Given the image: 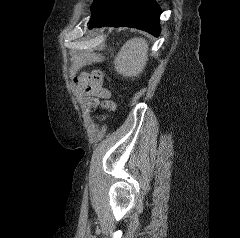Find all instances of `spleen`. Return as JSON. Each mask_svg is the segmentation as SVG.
Masks as SVG:
<instances>
[{
    "label": "spleen",
    "instance_id": "1",
    "mask_svg": "<svg viewBox=\"0 0 240 238\" xmlns=\"http://www.w3.org/2000/svg\"><path fill=\"white\" fill-rule=\"evenodd\" d=\"M148 45L143 38L128 40L114 59L117 73L123 77L138 76L144 70L148 60Z\"/></svg>",
    "mask_w": 240,
    "mask_h": 238
}]
</instances>
